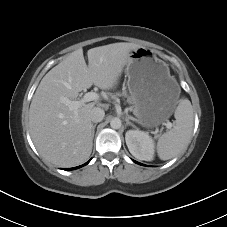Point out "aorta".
Listing matches in <instances>:
<instances>
[{
    "instance_id": "762f6f07",
    "label": "aorta",
    "mask_w": 227,
    "mask_h": 227,
    "mask_svg": "<svg viewBox=\"0 0 227 227\" xmlns=\"http://www.w3.org/2000/svg\"><path fill=\"white\" fill-rule=\"evenodd\" d=\"M110 126L113 129H119L121 127V120L119 118H113L110 121Z\"/></svg>"
}]
</instances>
